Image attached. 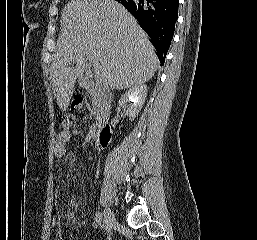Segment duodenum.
<instances>
[{
	"instance_id": "1",
	"label": "duodenum",
	"mask_w": 257,
	"mask_h": 240,
	"mask_svg": "<svg viewBox=\"0 0 257 240\" xmlns=\"http://www.w3.org/2000/svg\"><path fill=\"white\" fill-rule=\"evenodd\" d=\"M85 85L88 86V82L85 80ZM111 140V126L108 123H104L99 127V130L95 137V146L98 149L106 148Z\"/></svg>"
}]
</instances>
